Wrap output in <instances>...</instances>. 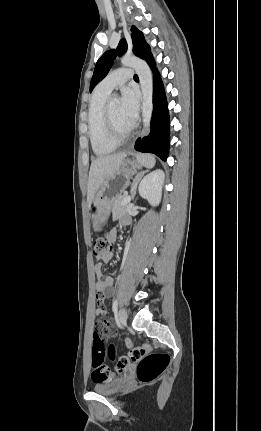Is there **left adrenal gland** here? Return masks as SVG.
<instances>
[{"instance_id":"1","label":"left adrenal gland","mask_w":261,"mask_h":431,"mask_svg":"<svg viewBox=\"0 0 261 431\" xmlns=\"http://www.w3.org/2000/svg\"><path fill=\"white\" fill-rule=\"evenodd\" d=\"M144 171L143 172H141V173H139L136 177H135V179L133 180V182H132V184H131V190H130V192H131V195H132V198L134 199V197H135V195H136V190H137V185H138V183H139V181H140V179L142 178V176L144 175Z\"/></svg>"}]
</instances>
